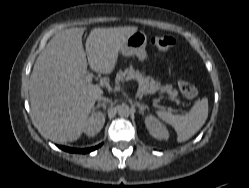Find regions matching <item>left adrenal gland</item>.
I'll use <instances>...</instances> for the list:
<instances>
[{"label": "left adrenal gland", "instance_id": "obj_1", "mask_svg": "<svg viewBox=\"0 0 249 188\" xmlns=\"http://www.w3.org/2000/svg\"><path fill=\"white\" fill-rule=\"evenodd\" d=\"M135 104L139 108L140 113L144 116V111L145 109H148V106L144 104H140L139 102H136Z\"/></svg>", "mask_w": 249, "mask_h": 188}]
</instances>
